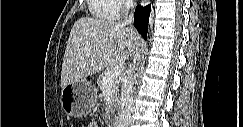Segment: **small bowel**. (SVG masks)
Segmentation results:
<instances>
[{"label": "small bowel", "mask_w": 243, "mask_h": 127, "mask_svg": "<svg viewBox=\"0 0 243 127\" xmlns=\"http://www.w3.org/2000/svg\"><path fill=\"white\" fill-rule=\"evenodd\" d=\"M90 127H96V124L92 123L89 125Z\"/></svg>", "instance_id": "1"}]
</instances>
